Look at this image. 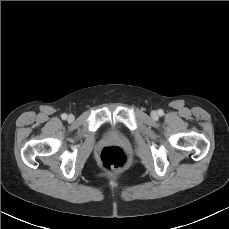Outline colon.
<instances>
[{
	"instance_id": "colon-1",
	"label": "colon",
	"mask_w": 229,
	"mask_h": 229,
	"mask_svg": "<svg viewBox=\"0 0 229 229\" xmlns=\"http://www.w3.org/2000/svg\"><path fill=\"white\" fill-rule=\"evenodd\" d=\"M99 162L104 171H117L126 165L127 156L120 147L108 146L102 149Z\"/></svg>"
}]
</instances>
